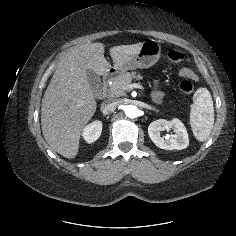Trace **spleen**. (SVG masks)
Instances as JSON below:
<instances>
[{
	"label": "spleen",
	"mask_w": 236,
	"mask_h": 236,
	"mask_svg": "<svg viewBox=\"0 0 236 236\" xmlns=\"http://www.w3.org/2000/svg\"><path fill=\"white\" fill-rule=\"evenodd\" d=\"M214 124V107L210 92L199 88L193 95L190 111V125L195 138L205 141L210 135Z\"/></svg>",
	"instance_id": "1"
}]
</instances>
